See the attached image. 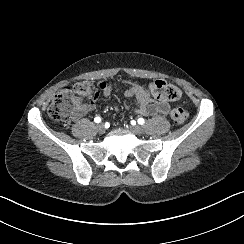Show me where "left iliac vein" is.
Wrapping results in <instances>:
<instances>
[{
  "mask_svg": "<svg viewBox=\"0 0 244 244\" xmlns=\"http://www.w3.org/2000/svg\"><path fill=\"white\" fill-rule=\"evenodd\" d=\"M130 130L136 135H141L143 133V131H144L143 127L139 126V125L131 126Z\"/></svg>",
  "mask_w": 244,
  "mask_h": 244,
  "instance_id": "obj_1",
  "label": "left iliac vein"
}]
</instances>
